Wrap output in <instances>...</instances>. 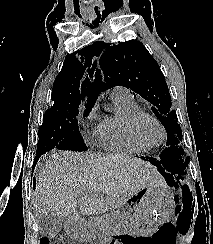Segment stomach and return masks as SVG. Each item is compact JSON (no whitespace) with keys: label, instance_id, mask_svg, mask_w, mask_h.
<instances>
[{"label":"stomach","instance_id":"stomach-1","mask_svg":"<svg viewBox=\"0 0 213 244\" xmlns=\"http://www.w3.org/2000/svg\"><path fill=\"white\" fill-rule=\"evenodd\" d=\"M135 206L131 226L136 232L152 229L166 222L173 212V198L166 186L150 185L138 191L133 199ZM91 221H68V231L79 240H88L95 233L89 229Z\"/></svg>","mask_w":213,"mask_h":244}]
</instances>
